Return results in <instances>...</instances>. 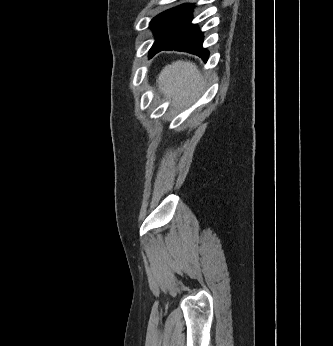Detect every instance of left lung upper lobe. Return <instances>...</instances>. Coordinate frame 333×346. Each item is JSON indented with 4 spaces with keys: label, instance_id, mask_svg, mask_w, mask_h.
Instances as JSON below:
<instances>
[{
    "label": "left lung upper lobe",
    "instance_id": "1",
    "mask_svg": "<svg viewBox=\"0 0 333 346\" xmlns=\"http://www.w3.org/2000/svg\"><path fill=\"white\" fill-rule=\"evenodd\" d=\"M193 5L183 4L166 10L150 22V28L156 35L154 44L167 40L179 32L192 20Z\"/></svg>",
    "mask_w": 333,
    "mask_h": 346
}]
</instances>
